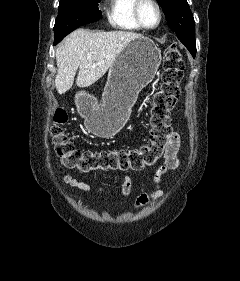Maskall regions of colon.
<instances>
[{
    "label": "colon",
    "mask_w": 240,
    "mask_h": 281,
    "mask_svg": "<svg viewBox=\"0 0 240 281\" xmlns=\"http://www.w3.org/2000/svg\"><path fill=\"white\" fill-rule=\"evenodd\" d=\"M183 60L179 47L170 45L163 61L162 82L153 94L150 109V138L139 148L91 151L76 147L66 131L68 114L64 107L56 110L51 127L55 152L68 168L80 171H141L166 156L169 144L170 113L180 91Z\"/></svg>",
    "instance_id": "1"
}]
</instances>
